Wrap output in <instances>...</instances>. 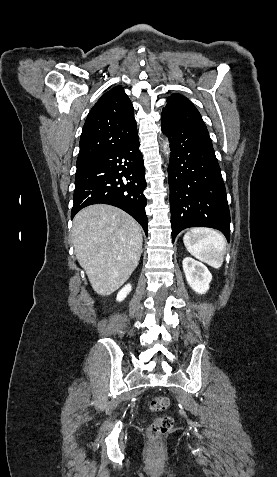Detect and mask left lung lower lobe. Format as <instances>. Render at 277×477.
<instances>
[{
    "label": "left lung lower lobe",
    "mask_w": 277,
    "mask_h": 477,
    "mask_svg": "<svg viewBox=\"0 0 277 477\" xmlns=\"http://www.w3.org/2000/svg\"><path fill=\"white\" fill-rule=\"evenodd\" d=\"M170 141L169 172L172 241L189 227L220 230L230 241L225 185L207 128L161 125Z\"/></svg>",
    "instance_id": "obj_1"
}]
</instances>
